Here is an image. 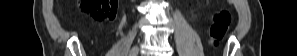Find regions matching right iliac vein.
Instances as JSON below:
<instances>
[{
  "label": "right iliac vein",
  "instance_id": "right-iliac-vein-1",
  "mask_svg": "<svg viewBox=\"0 0 297 56\" xmlns=\"http://www.w3.org/2000/svg\"><path fill=\"white\" fill-rule=\"evenodd\" d=\"M138 52H139V47L138 46H134L130 53H129V56H137L138 55Z\"/></svg>",
  "mask_w": 297,
  "mask_h": 56
}]
</instances>
